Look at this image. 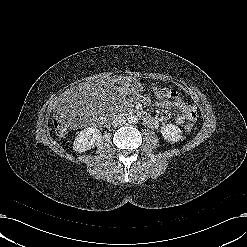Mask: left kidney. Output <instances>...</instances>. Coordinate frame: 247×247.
I'll return each mask as SVG.
<instances>
[{"instance_id": "obj_1", "label": "left kidney", "mask_w": 247, "mask_h": 247, "mask_svg": "<svg viewBox=\"0 0 247 247\" xmlns=\"http://www.w3.org/2000/svg\"><path fill=\"white\" fill-rule=\"evenodd\" d=\"M160 132L164 139L170 143L178 142L182 138L181 129L174 124H167L161 127Z\"/></svg>"}]
</instances>
